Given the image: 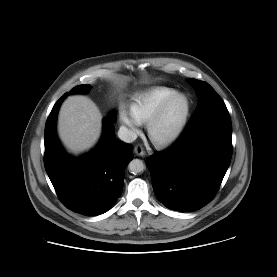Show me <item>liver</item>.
Returning a JSON list of instances; mask_svg holds the SVG:
<instances>
[{
    "mask_svg": "<svg viewBox=\"0 0 277 277\" xmlns=\"http://www.w3.org/2000/svg\"><path fill=\"white\" fill-rule=\"evenodd\" d=\"M102 115L96 104L85 96L68 97L60 110L59 136L64 145L78 154L89 150L101 134Z\"/></svg>",
    "mask_w": 277,
    "mask_h": 277,
    "instance_id": "obj_1",
    "label": "liver"
}]
</instances>
